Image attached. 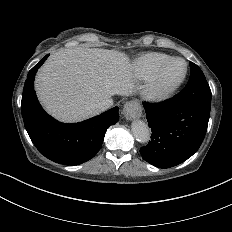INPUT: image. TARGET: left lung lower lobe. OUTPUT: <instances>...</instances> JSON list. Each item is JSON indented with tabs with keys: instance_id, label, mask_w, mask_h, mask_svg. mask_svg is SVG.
<instances>
[{
	"instance_id": "1",
	"label": "left lung lower lobe",
	"mask_w": 232,
	"mask_h": 232,
	"mask_svg": "<svg viewBox=\"0 0 232 232\" xmlns=\"http://www.w3.org/2000/svg\"><path fill=\"white\" fill-rule=\"evenodd\" d=\"M143 105L152 135L140 153L148 163L159 168L174 167L199 149L210 110L175 97L159 104Z\"/></svg>"
}]
</instances>
